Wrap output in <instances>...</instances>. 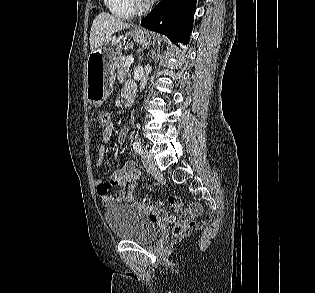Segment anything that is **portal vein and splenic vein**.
Instances as JSON below:
<instances>
[{"mask_svg":"<svg viewBox=\"0 0 315 293\" xmlns=\"http://www.w3.org/2000/svg\"><path fill=\"white\" fill-rule=\"evenodd\" d=\"M134 62L132 57L128 58L125 62V67H129Z\"/></svg>","mask_w":315,"mask_h":293,"instance_id":"18ae733b","label":"portal vein and splenic vein"}]
</instances>
